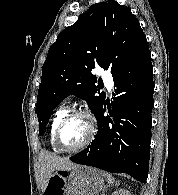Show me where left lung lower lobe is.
<instances>
[{
  "mask_svg": "<svg viewBox=\"0 0 178 195\" xmlns=\"http://www.w3.org/2000/svg\"><path fill=\"white\" fill-rule=\"evenodd\" d=\"M114 79V101L106 102L96 115L97 134L91 144L71 157L79 164L113 173H126L146 182L151 142V111L154 106L151 52L131 63Z\"/></svg>",
  "mask_w": 178,
  "mask_h": 195,
  "instance_id": "0a47b994",
  "label": "left lung lower lobe"
}]
</instances>
